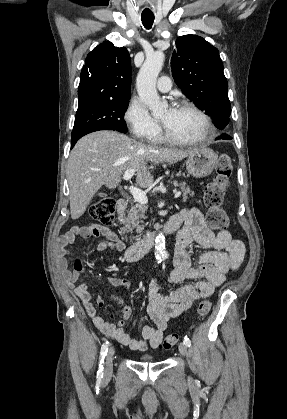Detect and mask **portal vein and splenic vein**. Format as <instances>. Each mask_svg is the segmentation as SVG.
<instances>
[{
	"mask_svg": "<svg viewBox=\"0 0 287 419\" xmlns=\"http://www.w3.org/2000/svg\"><path fill=\"white\" fill-rule=\"evenodd\" d=\"M134 174H135V170L129 169V170L124 172L123 179L128 181L133 177ZM129 191L132 194L135 201H137L138 203L144 204V205L148 203V198L146 196V193L144 191H142L141 189H139L137 187H134V186H130ZM180 195H181V192L178 191V192H175L174 197L178 198Z\"/></svg>",
	"mask_w": 287,
	"mask_h": 419,
	"instance_id": "1",
	"label": "portal vein and splenic vein"
}]
</instances>
